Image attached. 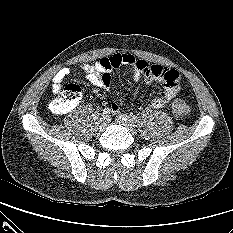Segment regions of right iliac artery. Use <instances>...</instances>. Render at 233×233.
<instances>
[{"label": "right iliac artery", "instance_id": "right-iliac-artery-1", "mask_svg": "<svg viewBox=\"0 0 233 233\" xmlns=\"http://www.w3.org/2000/svg\"><path fill=\"white\" fill-rule=\"evenodd\" d=\"M110 111L111 110L109 108L103 109V112H102L103 116H108V114L110 113Z\"/></svg>", "mask_w": 233, "mask_h": 233}]
</instances>
